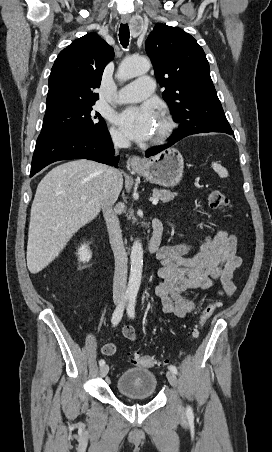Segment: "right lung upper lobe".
Listing matches in <instances>:
<instances>
[{"label": "right lung upper lobe", "instance_id": "right-lung-upper-lobe-1", "mask_svg": "<svg viewBox=\"0 0 272 452\" xmlns=\"http://www.w3.org/2000/svg\"><path fill=\"white\" fill-rule=\"evenodd\" d=\"M114 51L97 33L74 40L62 50L51 69L46 114L94 105L92 90L100 86L105 66Z\"/></svg>", "mask_w": 272, "mask_h": 452}]
</instances>
